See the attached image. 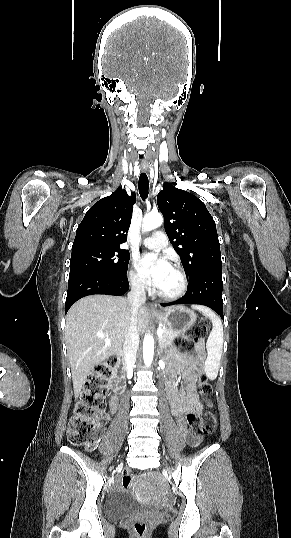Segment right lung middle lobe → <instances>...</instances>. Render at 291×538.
<instances>
[{"instance_id":"1","label":"right lung middle lobe","mask_w":291,"mask_h":538,"mask_svg":"<svg viewBox=\"0 0 291 538\" xmlns=\"http://www.w3.org/2000/svg\"><path fill=\"white\" fill-rule=\"evenodd\" d=\"M130 254L118 246H86L72 250L69 276L83 272L126 275Z\"/></svg>"}]
</instances>
